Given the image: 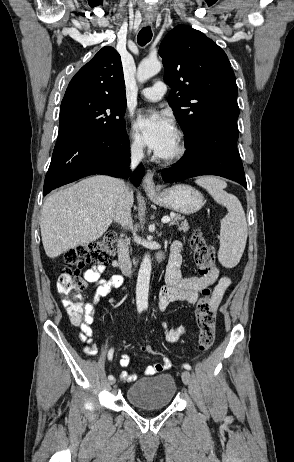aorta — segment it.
<instances>
[{
    "label": "aorta",
    "instance_id": "obj_1",
    "mask_svg": "<svg viewBox=\"0 0 294 462\" xmlns=\"http://www.w3.org/2000/svg\"><path fill=\"white\" fill-rule=\"evenodd\" d=\"M161 63L158 59H144L137 69V80L141 83L147 81L161 70ZM151 259L145 254L138 272L136 284V305L138 308H147L148 292L151 276Z\"/></svg>",
    "mask_w": 294,
    "mask_h": 462
}]
</instances>
